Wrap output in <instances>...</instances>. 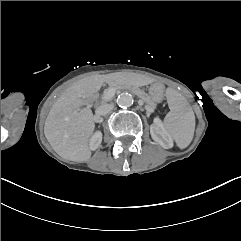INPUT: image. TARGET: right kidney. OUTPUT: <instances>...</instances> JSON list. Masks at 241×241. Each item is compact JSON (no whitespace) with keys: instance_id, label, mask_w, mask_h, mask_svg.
Instances as JSON below:
<instances>
[{"instance_id":"1","label":"right kidney","mask_w":241,"mask_h":241,"mask_svg":"<svg viewBox=\"0 0 241 241\" xmlns=\"http://www.w3.org/2000/svg\"><path fill=\"white\" fill-rule=\"evenodd\" d=\"M102 142V133L100 131H96L89 141V149L94 151L96 150Z\"/></svg>"}]
</instances>
